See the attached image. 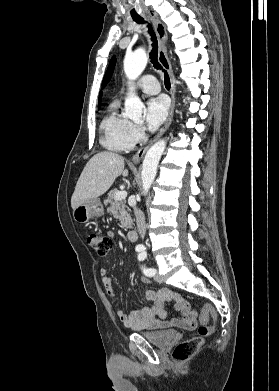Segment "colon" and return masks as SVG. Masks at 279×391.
<instances>
[{"label":"colon","instance_id":"obj_1","mask_svg":"<svg viewBox=\"0 0 279 391\" xmlns=\"http://www.w3.org/2000/svg\"><path fill=\"white\" fill-rule=\"evenodd\" d=\"M87 242L95 253L102 258L107 257L114 249V242L107 235L91 233L87 236ZM216 318L217 314L214 307L211 304H205L199 316V336L187 339L178 344L174 349L173 358L183 362L194 356L202 346L204 338L211 334ZM210 319L212 321L211 324H209Z\"/></svg>","mask_w":279,"mask_h":391}]
</instances>
